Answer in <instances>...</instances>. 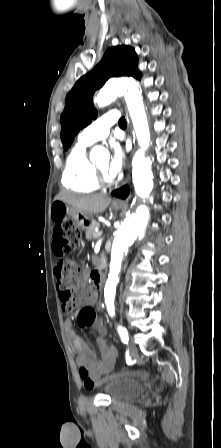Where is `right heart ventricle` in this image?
I'll list each match as a JSON object with an SVG mask.
<instances>
[{
	"label": "right heart ventricle",
	"mask_w": 221,
	"mask_h": 448,
	"mask_svg": "<svg viewBox=\"0 0 221 448\" xmlns=\"http://www.w3.org/2000/svg\"><path fill=\"white\" fill-rule=\"evenodd\" d=\"M86 145L78 143L66 159L62 184L75 192L90 193L99 188L93 164L86 155Z\"/></svg>",
	"instance_id": "obj_1"
}]
</instances>
